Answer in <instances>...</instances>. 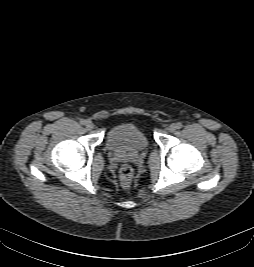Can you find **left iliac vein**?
I'll use <instances>...</instances> for the list:
<instances>
[{
    "label": "left iliac vein",
    "mask_w": 254,
    "mask_h": 267,
    "mask_svg": "<svg viewBox=\"0 0 254 267\" xmlns=\"http://www.w3.org/2000/svg\"><path fill=\"white\" fill-rule=\"evenodd\" d=\"M176 129H177V125L174 123L170 124L168 127L169 132H174Z\"/></svg>",
    "instance_id": "4c4485c4"
}]
</instances>
